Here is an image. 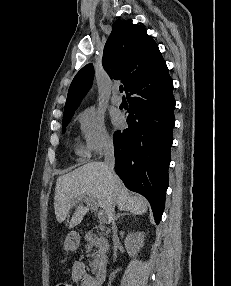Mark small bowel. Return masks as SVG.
<instances>
[{
    "label": "small bowel",
    "mask_w": 231,
    "mask_h": 286,
    "mask_svg": "<svg viewBox=\"0 0 231 286\" xmlns=\"http://www.w3.org/2000/svg\"><path fill=\"white\" fill-rule=\"evenodd\" d=\"M70 277L79 286H98L95 278L86 271L84 264L78 260L71 264Z\"/></svg>",
    "instance_id": "1"
}]
</instances>
